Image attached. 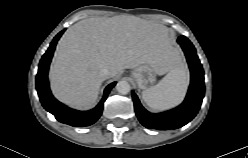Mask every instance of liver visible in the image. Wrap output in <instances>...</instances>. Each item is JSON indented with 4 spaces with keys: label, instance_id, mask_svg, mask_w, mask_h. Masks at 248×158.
<instances>
[{
    "label": "liver",
    "instance_id": "liver-1",
    "mask_svg": "<svg viewBox=\"0 0 248 158\" xmlns=\"http://www.w3.org/2000/svg\"><path fill=\"white\" fill-rule=\"evenodd\" d=\"M169 58L179 63L160 24L131 15L84 19L58 42L49 73L51 89L63 103L87 109L97 101L102 68L116 77L124 69L149 64L163 75V63Z\"/></svg>",
    "mask_w": 248,
    "mask_h": 158
}]
</instances>
